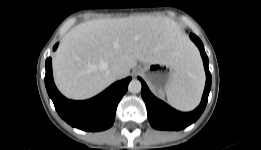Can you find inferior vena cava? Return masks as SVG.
<instances>
[{
	"instance_id": "602c4592",
	"label": "inferior vena cava",
	"mask_w": 261,
	"mask_h": 150,
	"mask_svg": "<svg viewBox=\"0 0 261 150\" xmlns=\"http://www.w3.org/2000/svg\"><path fill=\"white\" fill-rule=\"evenodd\" d=\"M128 72V68L121 63L115 64L111 67V73L116 77V78H122L125 76V74Z\"/></svg>"
}]
</instances>
